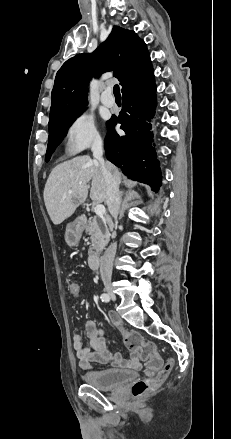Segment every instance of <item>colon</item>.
<instances>
[{
  "instance_id": "obj_1",
  "label": "colon",
  "mask_w": 231,
  "mask_h": 439,
  "mask_svg": "<svg viewBox=\"0 0 231 439\" xmlns=\"http://www.w3.org/2000/svg\"><path fill=\"white\" fill-rule=\"evenodd\" d=\"M67 289L70 294L76 296L79 294L80 285L76 280L68 279ZM124 340L126 346L130 350L138 352L140 358L145 361V376L137 380L131 388L134 397H141L163 382L172 370L174 362L170 359L163 363L155 346L144 341L138 333L127 332Z\"/></svg>"
}]
</instances>
